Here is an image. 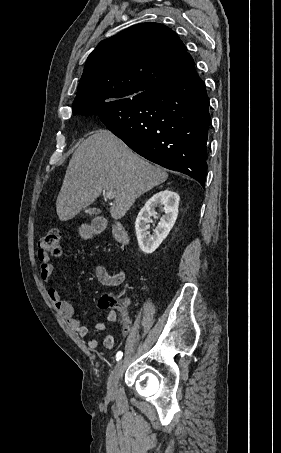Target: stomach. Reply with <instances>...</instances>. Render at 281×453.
<instances>
[{
  "mask_svg": "<svg viewBox=\"0 0 281 453\" xmlns=\"http://www.w3.org/2000/svg\"><path fill=\"white\" fill-rule=\"evenodd\" d=\"M82 235H86L85 231H82Z\"/></svg>",
  "mask_w": 281,
  "mask_h": 453,
  "instance_id": "0dacf381",
  "label": "stomach"
}]
</instances>
